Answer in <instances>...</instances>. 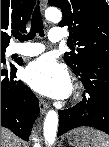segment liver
Wrapping results in <instances>:
<instances>
[{
  "label": "liver",
  "mask_w": 109,
  "mask_h": 147,
  "mask_svg": "<svg viewBox=\"0 0 109 147\" xmlns=\"http://www.w3.org/2000/svg\"><path fill=\"white\" fill-rule=\"evenodd\" d=\"M1 147H21V140L8 129L2 128Z\"/></svg>",
  "instance_id": "obj_1"
}]
</instances>
